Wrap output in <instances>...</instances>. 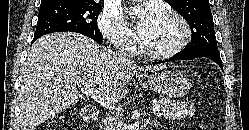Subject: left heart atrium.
I'll use <instances>...</instances> for the list:
<instances>
[{"mask_svg": "<svg viewBox=\"0 0 249 130\" xmlns=\"http://www.w3.org/2000/svg\"><path fill=\"white\" fill-rule=\"evenodd\" d=\"M133 15L137 19L138 34L141 39L145 41L161 17V13L156 6L148 5L143 8L135 9Z\"/></svg>", "mask_w": 249, "mask_h": 130, "instance_id": "1", "label": "left heart atrium"}]
</instances>
